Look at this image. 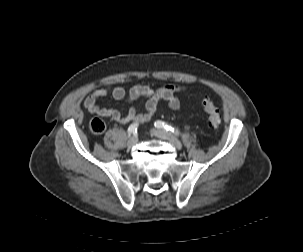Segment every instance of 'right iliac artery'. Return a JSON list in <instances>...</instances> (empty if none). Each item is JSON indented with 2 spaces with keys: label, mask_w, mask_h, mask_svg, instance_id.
Listing matches in <instances>:
<instances>
[{
  "label": "right iliac artery",
  "mask_w": 303,
  "mask_h": 252,
  "mask_svg": "<svg viewBox=\"0 0 303 252\" xmlns=\"http://www.w3.org/2000/svg\"><path fill=\"white\" fill-rule=\"evenodd\" d=\"M137 127H138V124H137V123H133V124H131V125L129 126V128H128V134H129V136H130L131 134H134V133L136 132Z\"/></svg>",
  "instance_id": "obj_1"
}]
</instances>
